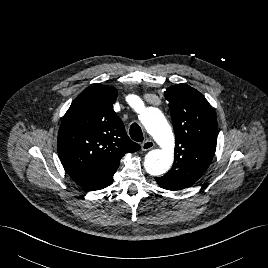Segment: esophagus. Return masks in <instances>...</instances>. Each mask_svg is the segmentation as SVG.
<instances>
[{"mask_svg": "<svg viewBox=\"0 0 268 268\" xmlns=\"http://www.w3.org/2000/svg\"><path fill=\"white\" fill-rule=\"evenodd\" d=\"M154 146H155L154 142L150 139H147L142 143L141 149L142 151H147L152 149Z\"/></svg>", "mask_w": 268, "mask_h": 268, "instance_id": "obj_1", "label": "esophagus"}]
</instances>
